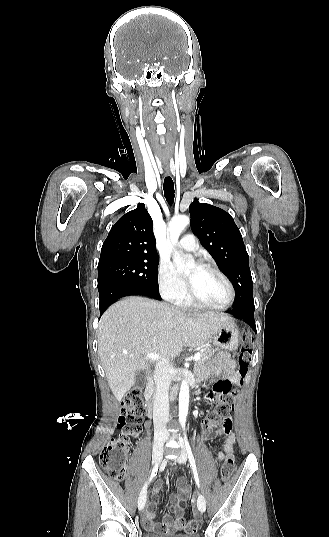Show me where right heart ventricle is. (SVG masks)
Wrapping results in <instances>:
<instances>
[{
    "mask_svg": "<svg viewBox=\"0 0 329 537\" xmlns=\"http://www.w3.org/2000/svg\"><path fill=\"white\" fill-rule=\"evenodd\" d=\"M176 303L179 306H182V307H190V306H192V302L187 296L184 299H182L181 301L176 302Z\"/></svg>",
    "mask_w": 329,
    "mask_h": 537,
    "instance_id": "right-heart-ventricle-1",
    "label": "right heart ventricle"
}]
</instances>
